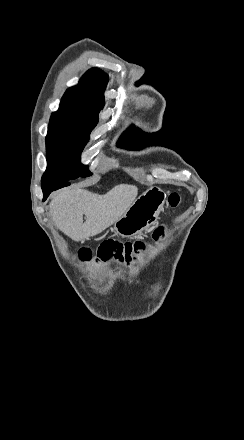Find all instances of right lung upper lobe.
I'll use <instances>...</instances> for the list:
<instances>
[{
	"label": "right lung upper lobe",
	"mask_w": 244,
	"mask_h": 440,
	"mask_svg": "<svg viewBox=\"0 0 244 440\" xmlns=\"http://www.w3.org/2000/svg\"><path fill=\"white\" fill-rule=\"evenodd\" d=\"M108 76L98 68L87 71L77 86L69 88L60 106L101 110Z\"/></svg>",
	"instance_id": "1"
}]
</instances>
